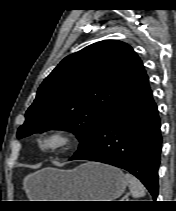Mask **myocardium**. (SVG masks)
Returning a JSON list of instances; mask_svg holds the SVG:
<instances>
[{
  "label": "myocardium",
  "mask_w": 176,
  "mask_h": 211,
  "mask_svg": "<svg viewBox=\"0 0 176 211\" xmlns=\"http://www.w3.org/2000/svg\"><path fill=\"white\" fill-rule=\"evenodd\" d=\"M36 142L41 152L54 154L71 149L74 138L62 128H50L42 131L37 136Z\"/></svg>",
  "instance_id": "f54148a6"
}]
</instances>
